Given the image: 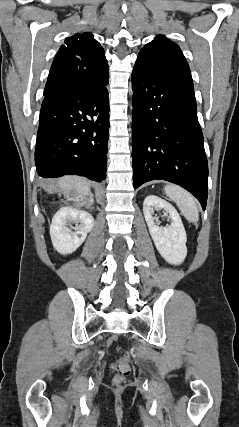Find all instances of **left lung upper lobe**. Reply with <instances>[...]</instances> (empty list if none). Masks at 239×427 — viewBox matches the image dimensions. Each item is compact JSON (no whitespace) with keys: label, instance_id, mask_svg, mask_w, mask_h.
Returning a JSON list of instances; mask_svg holds the SVG:
<instances>
[{"label":"left lung upper lobe","instance_id":"left-lung-upper-lobe-1","mask_svg":"<svg viewBox=\"0 0 239 427\" xmlns=\"http://www.w3.org/2000/svg\"><path fill=\"white\" fill-rule=\"evenodd\" d=\"M137 65L193 87L188 63L179 46L165 36H157L144 46L137 57Z\"/></svg>","mask_w":239,"mask_h":427}]
</instances>
